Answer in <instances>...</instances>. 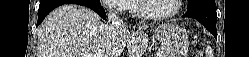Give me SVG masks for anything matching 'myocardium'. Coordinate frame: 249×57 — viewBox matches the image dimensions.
Returning a JSON list of instances; mask_svg holds the SVG:
<instances>
[{
	"label": "myocardium",
	"instance_id": "obj_1",
	"mask_svg": "<svg viewBox=\"0 0 249 57\" xmlns=\"http://www.w3.org/2000/svg\"><path fill=\"white\" fill-rule=\"evenodd\" d=\"M146 1H147V0H138V1H137V3H138V8H139V13H140L143 17H145L146 19L155 20V21L166 20V19H169V18L175 16V15H176L177 13H179V11L181 10L182 3H183L182 0H176L175 9L172 10L171 12L164 13V14H153V13H150V12L147 10Z\"/></svg>",
	"mask_w": 249,
	"mask_h": 57
}]
</instances>
